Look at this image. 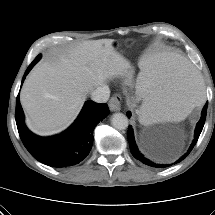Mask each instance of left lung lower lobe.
Segmentation results:
<instances>
[{
  "label": "left lung lower lobe",
  "instance_id": "obj_1",
  "mask_svg": "<svg viewBox=\"0 0 215 215\" xmlns=\"http://www.w3.org/2000/svg\"><path fill=\"white\" fill-rule=\"evenodd\" d=\"M207 106L208 103L205 104L203 110H202V115H201V119L199 120V122L197 123L196 129H195V138L190 146V148L188 149L187 153H185L180 159H178L176 162H174V164L182 161L183 159H185L188 154L191 152V150L193 149V147L195 146L200 133L203 129L204 123H205V119H206V111H207ZM127 116L130 117L131 114L130 112L127 113ZM128 142L130 145V151L132 153V155L139 161H141L142 163L151 166V167H156V168H164V167H168L171 166L172 164H159L157 162H154L150 159H148L146 156H144L138 149L136 143H135V139H134V134H133V129L131 126H129L128 128Z\"/></svg>",
  "mask_w": 215,
  "mask_h": 215
}]
</instances>
